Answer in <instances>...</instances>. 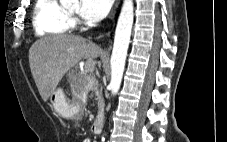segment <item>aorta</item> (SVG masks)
<instances>
[{"instance_id": "1", "label": "aorta", "mask_w": 227, "mask_h": 142, "mask_svg": "<svg viewBox=\"0 0 227 142\" xmlns=\"http://www.w3.org/2000/svg\"><path fill=\"white\" fill-rule=\"evenodd\" d=\"M77 0H60L62 4H71ZM134 20L133 0H124L123 6L117 22L114 37V45L111 56V81L110 89L113 95L119 91L124 67L126 62L127 50L130 43L131 30ZM104 140V138H102Z\"/></svg>"}]
</instances>
